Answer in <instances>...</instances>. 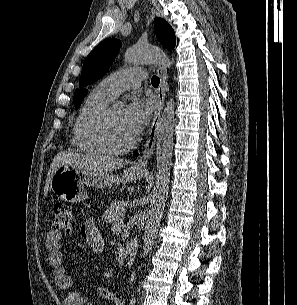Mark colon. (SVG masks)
<instances>
[{
  "mask_svg": "<svg viewBox=\"0 0 297 305\" xmlns=\"http://www.w3.org/2000/svg\"><path fill=\"white\" fill-rule=\"evenodd\" d=\"M75 226L74 213L67 203H57L54 207V216L51 228L53 231L69 233Z\"/></svg>",
  "mask_w": 297,
  "mask_h": 305,
  "instance_id": "1",
  "label": "colon"
}]
</instances>
